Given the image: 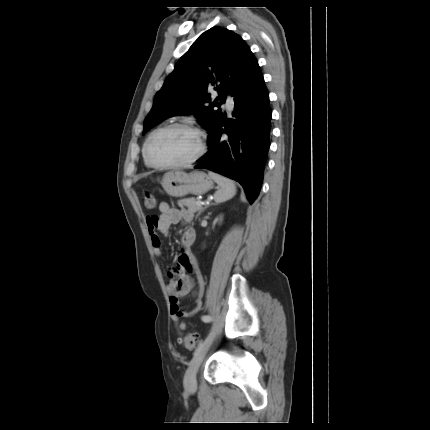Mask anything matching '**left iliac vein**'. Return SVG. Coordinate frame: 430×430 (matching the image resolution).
I'll use <instances>...</instances> for the list:
<instances>
[{
  "instance_id": "4c4485c4",
  "label": "left iliac vein",
  "mask_w": 430,
  "mask_h": 430,
  "mask_svg": "<svg viewBox=\"0 0 430 430\" xmlns=\"http://www.w3.org/2000/svg\"><path fill=\"white\" fill-rule=\"evenodd\" d=\"M214 339V335L209 334L204 340L202 346L198 349V351L194 354V357L190 363L189 368L187 369L184 377V385L188 390H194L197 386L196 381V373L208 352L212 342Z\"/></svg>"
}]
</instances>
